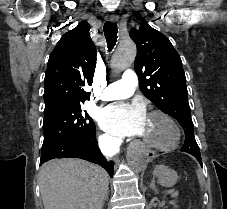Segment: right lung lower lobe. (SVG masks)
I'll list each match as a JSON object with an SVG mask.
<instances>
[{
  "label": "right lung lower lobe",
  "mask_w": 227,
  "mask_h": 209,
  "mask_svg": "<svg viewBox=\"0 0 227 209\" xmlns=\"http://www.w3.org/2000/svg\"><path fill=\"white\" fill-rule=\"evenodd\" d=\"M81 158L101 165L112 177L113 164L102 156L96 141V130L89 135L69 136L42 146L40 164L55 158Z\"/></svg>",
  "instance_id": "98d812e1"
}]
</instances>
